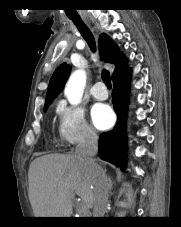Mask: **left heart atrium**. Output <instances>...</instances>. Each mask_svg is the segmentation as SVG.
<instances>
[{"mask_svg":"<svg viewBox=\"0 0 181 227\" xmlns=\"http://www.w3.org/2000/svg\"><path fill=\"white\" fill-rule=\"evenodd\" d=\"M91 118L93 124L98 129H107L114 122V114L111 108L106 104H96L91 109Z\"/></svg>","mask_w":181,"mask_h":227,"instance_id":"left-heart-atrium-1","label":"left heart atrium"}]
</instances>
